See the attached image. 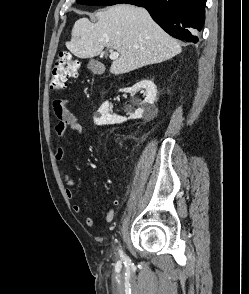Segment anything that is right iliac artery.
I'll use <instances>...</instances> for the list:
<instances>
[{"label": "right iliac artery", "mask_w": 249, "mask_h": 294, "mask_svg": "<svg viewBox=\"0 0 249 294\" xmlns=\"http://www.w3.org/2000/svg\"><path fill=\"white\" fill-rule=\"evenodd\" d=\"M119 254H120V257L122 258V260H124L125 262L129 261V258L124 254L122 249H119Z\"/></svg>", "instance_id": "1"}]
</instances>
